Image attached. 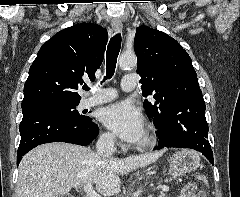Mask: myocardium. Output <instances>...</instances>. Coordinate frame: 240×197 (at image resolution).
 Returning <instances> with one entry per match:
<instances>
[{"label":"myocardium","mask_w":240,"mask_h":197,"mask_svg":"<svg viewBox=\"0 0 240 197\" xmlns=\"http://www.w3.org/2000/svg\"><path fill=\"white\" fill-rule=\"evenodd\" d=\"M157 136L153 128H149L138 143V148L149 149L155 146Z\"/></svg>","instance_id":"f54148a6"}]
</instances>
